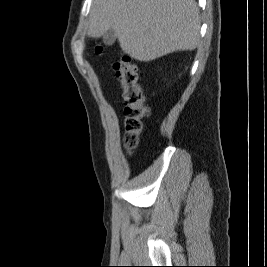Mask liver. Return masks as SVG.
Returning <instances> with one entry per match:
<instances>
[{
    "instance_id": "obj_1",
    "label": "liver",
    "mask_w": 267,
    "mask_h": 267,
    "mask_svg": "<svg viewBox=\"0 0 267 267\" xmlns=\"http://www.w3.org/2000/svg\"><path fill=\"white\" fill-rule=\"evenodd\" d=\"M110 29L126 54L148 62L199 45V9L194 0H94L88 36Z\"/></svg>"
}]
</instances>
